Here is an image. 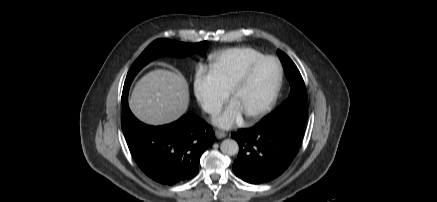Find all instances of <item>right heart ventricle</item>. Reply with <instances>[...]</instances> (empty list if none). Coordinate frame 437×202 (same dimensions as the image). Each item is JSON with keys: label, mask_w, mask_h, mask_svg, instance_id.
Wrapping results in <instances>:
<instances>
[{"label": "right heart ventricle", "mask_w": 437, "mask_h": 202, "mask_svg": "<svg viewBox=\"0 0 437 202\" xmlns=\"http://www.w3.org/2000/svg\"><path fill=\"white\" fill-rule=\"evenodd\" d=\"M263 56L260 51L252 47H233L212 55L210 69L221 84L230 91L247 66Z\"/></svg>", "instance_id": "1"}]
</instances>
